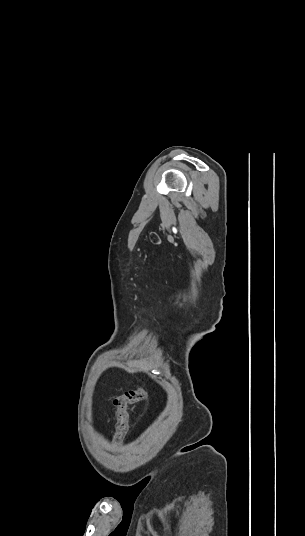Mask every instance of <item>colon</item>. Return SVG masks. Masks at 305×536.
<instances>
[{"label": "colon", "instance_id": "5ec220e1", "mask_svg": "<svg viewBox=\"0 0 305 536\" xmlns=\"http://www.w3.org/2000/svg\"><path fill=\"white\" fill-rule=\"evenodd\" d=\"M146 398V389L143 385H135L126 390L123 394L114 397L113 405L116 410L115 435L116 441H120L128 426V407L129 405L142 402Z\"/></svg>", "mask_w": 305, "mask_h": 536}]
</instances>
